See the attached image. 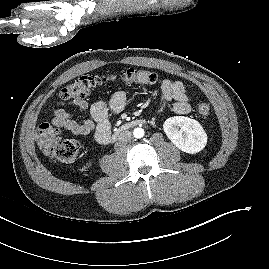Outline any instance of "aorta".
<instances>
[{"mask_svg": "<svg viewBox=\"0 0 269 269\" xmlns=\"http://www.w3.org/2000/svg\"><path fill=\"white\" fill-rule=\"evenodd\" d=\"M133 135L135 138H142L144 136V129L138 127L133 130Z\"/></svg>", "mask_w": 269, "mask_h": 269, "instance_id": "aorta-1", "label": "aorta"}]
</instances>
